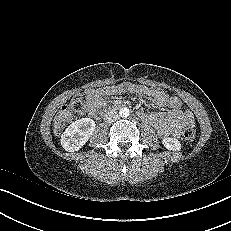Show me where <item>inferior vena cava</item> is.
<instances>
[{
  "label": "inferior vena cava",
  "instance_id": "obj_1",
  "mask_svg": "<svg viewBox=\"0 0 231 231\" xmlns=\"http://www.w3.org/2000/svg\"><path fill=\"white\" fill-rule=\"evenodd\" d=\"M103 119L105 122H114L119 119V114L115 109H109L105 111Z\"/></svg>",
  "mask_w": 231,
  "mask_h": 231
}]
</instances>
